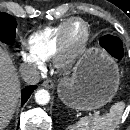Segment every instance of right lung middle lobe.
I'll return each instance as SVG.
<instances>
[{
  "instance_id": "right-lung-middle-lobe-1",
  "label": "right lung middle lobe",
  "mask_w": 130,
  "mask_h": 130,
  "mask_svg": "<svg viewBox=\"0 0 130 130\" xmlns=\"http://www.w3.org/2000/svg\"><path fill=\"white\" fill-rule=\"evenodd\" d=\"M16 20L9 14L0 12V41L13 45L16 36Z\"/></svg>"
}]
</instances>
